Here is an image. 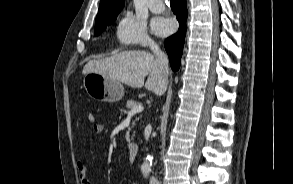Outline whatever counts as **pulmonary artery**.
Here are the masks:
<instances>
[{
  "label": "pulmonary artery",
  "instance_id": "e3ab8cb5",
  "mask_svg": "<svg viewBox=\"0 0 293 184\" xmlns=\"http://www.w3.org/2000/svg\"><path fill=\"white\" fill-rule=\"evenodd\" d=\"M149 9L152 13L160 14L165 10V5L162 0H150Z\"/></svg>",
  "mask_w": 293,
  "mask_h": 184
}]
</instances>
